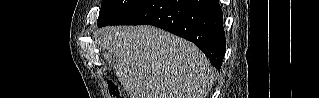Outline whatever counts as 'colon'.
<instances>
[{
	"label": "colon",
	"instance_id": "5ec220e1",
	"mask_svg": "<svg viewBox=\"0 0 319 98\" xmlns=\"http://www.w3.org/2000/svg\"><path fill=\"white\" fill-rule=\"evenodd\" d=\"M107 89L110 98H125V95L122 93L119 86L114 82L109 81L107 84Z\"/></svg>",
	"mask_w": 319,
	"mask_h": 98
}]
</instances>
